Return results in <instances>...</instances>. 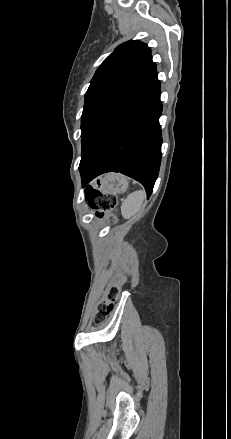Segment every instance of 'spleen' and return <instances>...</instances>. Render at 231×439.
<instances>
[{
    "mask_svg": "<svg viewBox=\"0 0 231 439\" xmlns=\"http://www.w3.org/2000/svg\"><path fill=\"white\" fill-rule=\"evenodd\" d=\"M146 193L143 190L135 191L127 196L121 206L122 216L131 219L140 210L145 199Z\"/></svg>",
    "mask_w": 231,
    "mask_h": 439,
    "instance_id": "1",
    "label": "spleen"
}]
</instances>
